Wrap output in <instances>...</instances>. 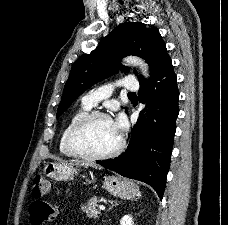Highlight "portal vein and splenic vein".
Wrapping results in <instances>:
<instances>
[{
	"label": "portal vein and splenic vein",
	"instance_id": "1",
	"mask_svg": "<svg viewBox=\"0 0 228 225\" xmlns=\"http://www.w3.org/2000/svg\"><path fill=\"white\" fill-rule=\"evenodd\" d=\"M99 209H102V211H104L105 207H103V205H100Z\"/></svg>",
	"mask_w": 228,
	"mask_h": 225
}]
</instances>
